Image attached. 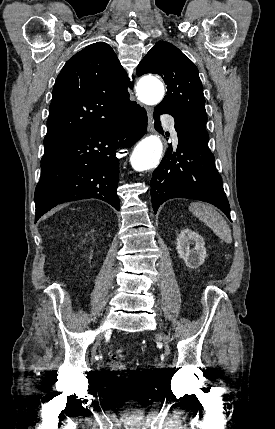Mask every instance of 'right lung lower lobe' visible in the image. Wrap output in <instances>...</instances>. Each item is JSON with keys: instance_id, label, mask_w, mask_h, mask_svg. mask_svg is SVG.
<instances>
[{"instance_id": "obj_1", "label": "right lung lower lobe", "mask_w": 275, "mask_h": 429, "mask_svg": "<svg viewBox=\"0 0 275 429\" xmlns=\"http://www.w3.org/2000/svg\"><path fill=\"white\" fill-rule=\"evenodd\" d=\"M147 115L136 103L120 119L46 145L34 201L35 221L58 204L88 198L119 210L116 150L129 148L146 132Z\"/></svg>"}]
</instances>
